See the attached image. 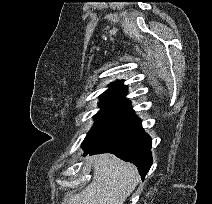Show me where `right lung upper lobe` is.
<instances>
[{
	"instance_id": "1",
	"label": "right lung upper lobe",
	"mask_w": 212,
	"mask_h": 204,
	"mask_svg": "<svg viewBox=\"0 0 212 204\" xmlns=\"http://www.w3.org/2000/svg\"><path fill=\"white\" fill-rule=\"evenodd\" d=\"M127 94V87L122 84V81H117L110 85L101 96V101H117L129 103V100L125 98Z\"/></svg>"
}]
</instances>
